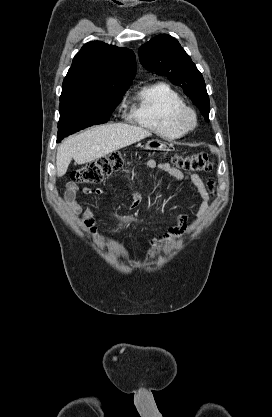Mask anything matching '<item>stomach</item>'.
Here are the masks:
<instances>
[{
  "mask_svg": "<svg viewBox=\"0 0 272 417\" xmlns=\"http://www.w3.org/2000/svg\"><path fill=\"white\" fill-rule=\"evenodd\" d=\"M166 147L164 142L157 139L150 140L145 145V148L148 150H164Z\"/></svg>",
  "mask_w": 272,
  "mask_h": 417,
  "instance_id": "0dacf381",
  "label": "stomach"
}]
</instances>
